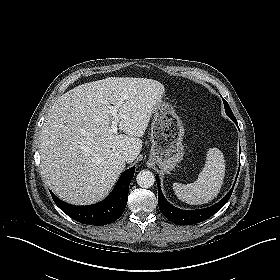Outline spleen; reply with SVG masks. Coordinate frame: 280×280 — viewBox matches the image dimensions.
Here are the masks:
<instances>
[{"label":"spleen","instance_id":"spleen-1","mask_svg":"<svg viewBox=\"0 0 280 280\" xmlns=\"http://www.w3.org/2000/svg\"><path fill=\"white\" fill-rule=\"evenodd\" d=\"M225 177V160L222 152L211 148L206 162L196 181L190 184L174 183L173 190L183 202L201 205L213 200L219 194Z\"/></svg>","mask_w":280,"mask_h":280}]
</instances>
